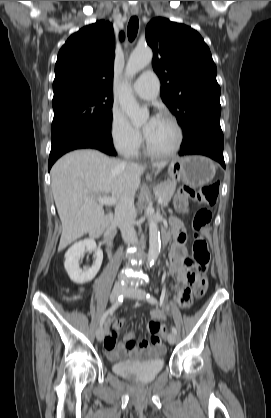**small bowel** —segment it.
Listing matches in <instances>:
<instances>
[{"label": "small bowel", "mask_w": 271, "mask_h": 418, "mask_svg": "<svg viewBox=\"0 0 271 418\" xmlns=\"http://www.w3.org/2000/svg\"><path fill=\"white\" fill-rule=\"evenodd\" d=\"M170 226L175 238V243L170 254V272L182 285L177 294L178 303L181 307H187L191 302V285H194L195 275L184 265L186 258V233L182 223L177 218H172L170 220ZM164 318L165 314L161 311H154L152 314V321L155 323L159 324ZM124 324L125 319H114L112 321V332L107 333L104 337V347L110 358L117 359L124 355L141 357L144 355L159 354L165 351V347L160 340L158 342L152 341L153 336L159 338V335L164 334L165 330L161 327L157 332L152 333L151 343L142 340L136 344V336L133 332L127 333L123 342H118L116 335Z\"/></svg>", "instance_id": "1"}]
</instances>
